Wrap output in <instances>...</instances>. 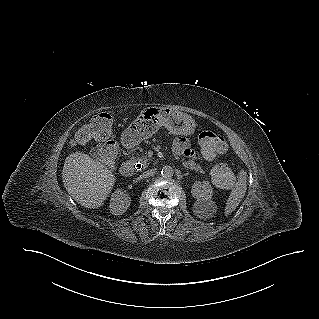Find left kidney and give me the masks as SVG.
Wrapping results in <instances>:
<instances>
[{
	"label": "left kidney",
	"mask_w": 319,
	"mask_h": 319,
	"mask_svg": "<svg viewBox=\"0 0 319 319\" xmlns=\"http://www.w3.org/2000/svg\"><path fill=\"white\" fill-rule=\"evenodd\" d=\"M192 196L197 199L195 207L196 213L200 217H212L216 212V205L211 200L213 190L208 181H197L194 183L191 189Z\"/></svg>",
	"instance_id": "obj_1"
}]
</instances>
